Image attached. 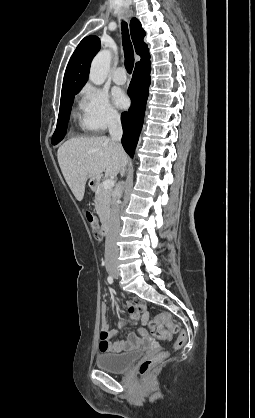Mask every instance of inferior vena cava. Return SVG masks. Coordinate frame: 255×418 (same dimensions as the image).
Here are the masks:
<instances>
[{
	"label": "inferior vena cava",
	"mask_w": 255,
	"mask_h": 418,
	"mask_svg": "<svg viewBox=\"0 0 255 418\" xmlns=\"http://www.w3.org/2000/svg\"><path fill=\"white\" fill-rule=\"evenodd\" d=\"M108 129L111 136V140L120 142L122 138V125L120 115L118 113H110L108 116ZM126 162L124 161L121 166V176L125 173ZM123 192V183L119 182L115 188L112 209L109 220L108 232L105 240V261L116 260L118 257L119 249L117 246V238L120 232V218H119V201Z\"/></svg>",
	"instance_id": "inferior-vena-cava-1"
}]
</instances>
